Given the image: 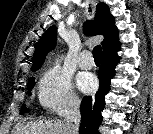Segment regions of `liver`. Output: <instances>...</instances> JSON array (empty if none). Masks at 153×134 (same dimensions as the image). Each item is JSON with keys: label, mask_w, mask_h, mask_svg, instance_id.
I'll return each mask as SVG.
<instances>
[{"label": "liver", "mask_w": 153, "mask_h": 134, "mask_svg": "<svg viewBox=\"0 0 153 134\" xmlns=\"http://www.w3.org/2000/svg\"><path fill=\"white\" fill-rule=\"evenodd\" d=\"M13 134H64V123L60 121L40 120L18 124Z\"/></svg>", "instance_id": "1"}]
</instances>
